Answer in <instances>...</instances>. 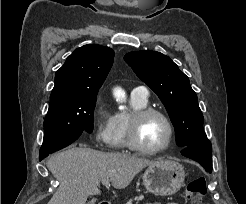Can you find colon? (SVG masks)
Wrapping results in <instances>:
<instances>
[{
  "label": "colon",
  "mask_w": 246,
  "mask_h": 204,
  "mask_svg": "<svg viewBox=\"0 0 246 204\" xmlns=\"http://www.w3.org/2000/svg\"><path fill=\"white\" fill-rule=\"evenodd\" d=\"M207 195V182L204 177L190 181L186 187V196L193 204H201Z\"/></svg>",
  "instance_id": "obj_1"
}]
</instances>
